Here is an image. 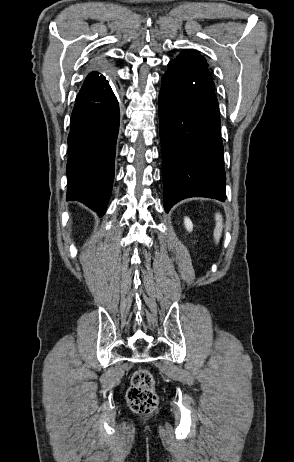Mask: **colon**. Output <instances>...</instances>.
I'll list each match as a JSON object with an SVG mask.
<instances>
[{"label": "colon", "instance_id": "1", "mask_svg": "<svg viewBox=\"0 0 294 462\" xmlns=\"http://www.w3.org/2000/svg\"><path fill=\"white\" fill-rule=\"evenodd\" d=\"M126 399L136 413L149 414L156 409L158 397L154 377L149 370L142 368L134 372Z\"/></svg>", "mask_w": 294, "mask_h": 462}]
</instances>
